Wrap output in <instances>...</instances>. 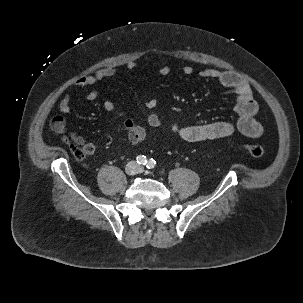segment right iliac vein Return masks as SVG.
Wrapping results in <instances>:
<instances>
[{
  "label": "right iliac vein",
  "mask_w": 303,
  "mask_h": 303,
  "mask_svg": "<svg viewBox=\"0 0 303 303\" xmlns=\"http://www.w3.org/2000/svg\"><path fill=\"white\" fill-rule=\"evenodd\" d=\"M125 170L128 175H134L137 171V168H136L135 164L131 162L126 166Z\"/></svg>",
  "instance_id": "63e3f726"
}]
</instances>
